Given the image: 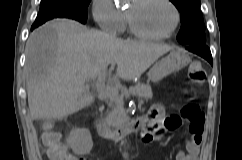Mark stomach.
<instances>
[{
	"instance_id": "1",
	"label": "stomach",
	"mask_w": 242,
	"mask_h": 160,
	"mask_svg": "<svg viewBox=\"0 0 242 160\" xmlns=\"http://www.w3.org/2000/svg\"><path fill=\"white\" fill-rule=\"evenodd\" d=\"M190 62V57L184 50H172L167 56L157 61L148 72V80L159 82L170 73L176 72Z\"/></svg>"
}]
</instances>
